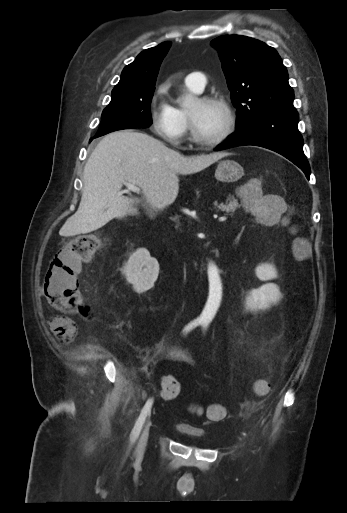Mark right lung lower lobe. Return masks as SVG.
Returning a JSON list of instances; mask_svg holds the SVG:
<instances>
[{
    "label": "right lung lower lobe",
    "instance_id": "right-lung-lower-lobe-1",
    "mask_svg": "<svg viewBox=\"0 0 347 513\" xmlns=\"http://www.w3.org/2000/svg\"><path fill=\"white\" fill-rule=\"evenodd\" d=\"M97 137H99V136H98V135H95V136H94V138H97Z\"/></svg>",
    "mask_w": 347,
    "mask_h": 513
}]
</instances>
